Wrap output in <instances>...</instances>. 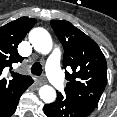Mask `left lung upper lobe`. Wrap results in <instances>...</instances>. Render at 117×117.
<instances>
[{
	"label": "left lung upper lobe",
	"instance_id": "5c2ea615",
	"mask_svg": "<svg viewBox=\"0 0 117 117\" xmlns=\"http://www.w3.org/2000/svg\"><path fill=\"white\" fill-rule=\"evenodd\" d=\"M51 26L63 45V68L68 80L65 94L71 100L92 112L107 83V63L99 46L70 22L52 20Z\"/></svg>",
	"mask_w": 117,
	"mask_h": 117
}]
</instances>
